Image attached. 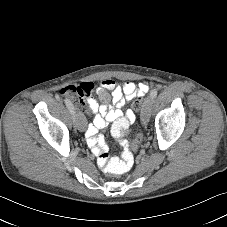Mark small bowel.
<instances>
[{
    "label": "small bowel",
    "instance_id": "obj_1",
    "mask_svg": "<svg viewBox=\"0 0 227 227\" xmlns=\"http://www.w3.org/2000/svg\"><path fill=\"white\" fill-rule=\"evenodd\" d=\"M79 90V95L73 97L77 100L80 107H88L94 114V119L86 128V141L91 148L92 153L99 157L101 153H108V146L103 135H97L99 130L104 129L109 123H113L112 135L120 138L124 132L135 122L136 116L133 110L129 109L123 113L122 108L125 104L135 97H142L149 90L145 83L135 84L132 81H126L118 84L111 78L103 79L100 86L96 89V95L99 102L91 97L93 84L84 82L74 86ZM112 103V106L110 105ZM83 121L86 122L82 116ZM124 149L126 143L122 144Z\"/></svg>",
    "mask_w": 227,
    "mask_h": 227
}]
</instances>
